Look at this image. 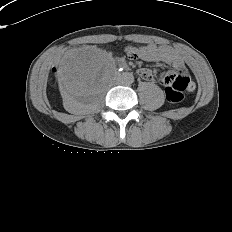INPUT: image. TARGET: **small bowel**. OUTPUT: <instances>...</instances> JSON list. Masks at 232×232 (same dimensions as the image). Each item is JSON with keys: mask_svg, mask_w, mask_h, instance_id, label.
<instances>
[{"mask_svg": "<svg viewBox=\"0 0 232 232\" xmlns=\"http://www.w3.org/2000/svg\"><path fill=\"white\" fill-rule=\"evenodd\" d=\"M130 54H137L139 58L150 62H160L173 67L175 75L187 76L184 62L176 49L167 45L146 44L138 47L130 46L127 49ZM140 77L146 81L153 80L150 70L142 68L138 71ZM190 85L187 90L192 91L195 84L189 79ZM164 84V82H163Z\"/></svg>", "mask_w": 232, "mask_h": 232, "instance_id": "obj_1", "label": "small bowel"}]
</instances>
